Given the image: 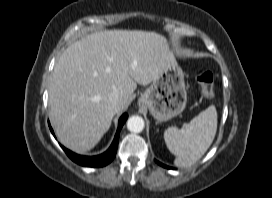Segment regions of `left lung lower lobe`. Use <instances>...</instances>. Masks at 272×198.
<instances>
[{
  "mask_svg": "<svg viewBox=\"0 0 272 198\" xmlns=\"http://www.w3.org/2000/svg\"><path fill=\"white\" fill-rule=\"evenodd\" d=\"M159 165H161L162 167H165V168H169L168 166H166V165H163L162 163H160V162H158V161H156Z\"/></svg>",
  "mask_w": 272,
  "mask_h": 198,
  "instance_id": "left-lung-lower-lobe-1",
  "label": "left lung lower lobe"
}]
</instances>
